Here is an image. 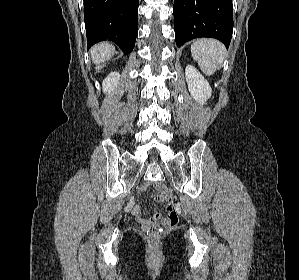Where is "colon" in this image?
Returning a JSON list of instances; mask_svg holds the SVG:
<instances>
[{
	"instance_id": "5ec220e1",
	"label": "colon",
	"mask_w": 299,
	"mask_h": 280,
	"mask_svg": "<svg viewBox=\"0 0 299 280\" xmlns=\"http://www.w3.org/2000/svg\"><path fill=\"white\" fill-rule=\"evenodd\" d=\"M158 189L160 194L156 199L163 202L166 212L164 215L156 214L146 227L147 234L151 239H157L165 228L173 226L178 222V215L174 210L173 200L167 194L166 188L159 184Z\"/></svg>"
}]
</instances>
